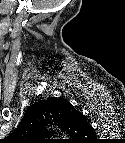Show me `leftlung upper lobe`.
<instances>
[{
  "label": "left lung upper lobe",
  "mask_w": 125,
  "mask_h": 143,
  "mask_svg": "<svg viewBox=\"0 0 125 143\" xmlns=\"http://www.w3.org/2000/svg\"><path fill=\"white\" fill-rule=\"evenodd\" d=\"M69 103L66 100L49 97L46 100H40L29 106L24 113L21 125L8 137L9 140H26L31 138L38 140L40 137L50 136L51 131H44L47 124L54 123L61 126L72 137L79 133H92L93 130L86 119L75 121L71 125L65 123V106ZM24 142V141H22Z\"/></svg>",
  "instance_id": "obj_1"
}]
</instances>
